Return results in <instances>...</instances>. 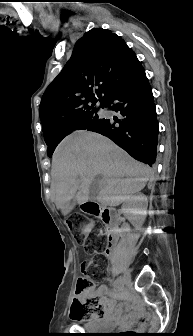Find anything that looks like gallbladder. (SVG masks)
I'll list each match as a JSON object with an SVG mask.
<instances>
[{"label": "gallbladder", "instance_id": "bac80fb5", "mask_svg": "<svg viewBox=\"0 0 193 336\" xmlns=\"http://www.w3.org/2000/svg\"><path fill=\"white\" fill-rule=\"evenodd\" d=\"M96 196V190L93 187H90V198H94Z\"/></svg>", "mask_w": 193, "mask_h": 336}]
</instances>
